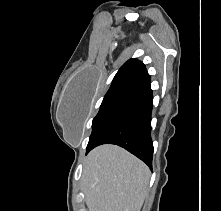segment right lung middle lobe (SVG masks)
Returning a JSON list of instances; mask_svg holds the SVG:
<instances>
[{"label":"right lung middle lobe","instance_id":"obj_1","mask_svg":"<svg viewBox=\"0 0 221 211\" xmlns=\"http://www.w3.org/2000/svg\"><path fill=\"white\" fill-rule=\"evenodd\" d=\"M134 90H117L107 92L100 110L92 123V133L89 143H91L105 127L118 115L127 102L136 94ZM88 143V144H89Z\"/></svg>","mask_w":221,"mask_h":211}]
</instances>
